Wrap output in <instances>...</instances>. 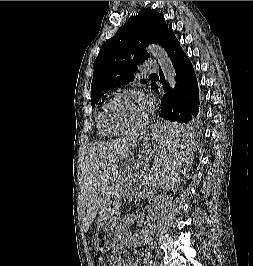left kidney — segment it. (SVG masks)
Wrapping results in <instances>:
<instances>
[{
	"instance_id": "1",
	"label": "left kidney",
	"mask_w": 253,
	"mask_h": 266,
	"mask_svg": "<svg viewBox=\"0 0 253 266\" xmlns=\"http://www.w3.org/2000/svg\"><path fill=\"white\" fill-rule=\"evenodd\" d=\"M136 217L133 215H127L120 225L119 238L121 242L129 247L140 246L147 241L150 234L149 230L145 232H132L129 230L130 226L134 224Z\"/></svg>"
}]
</instances>
